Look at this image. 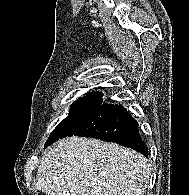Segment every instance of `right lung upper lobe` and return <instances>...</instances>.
<instances>
[{
    "mask_svg": "<svg viewBox=\"0 0 189 195\" xmlns=\"http://www.w3.org/2000/svg\"><path fill=\"white\" fill-rule=\"evenodd\" d=\"M92 94H101V93H99V92H93Z\"/></svg>",
    "mask_w": 189,
    "mask_h": 195,
    "instance_id": "right-lung-upper-lobe-1",
    "label": "right lung upper lobe"
}]
</instances>
